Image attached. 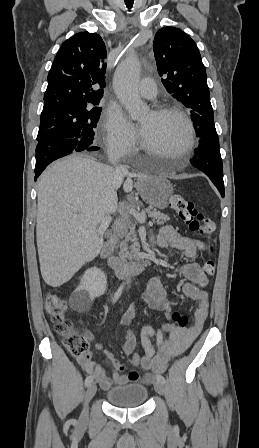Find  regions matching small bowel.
<instances>
[{
	"label": "small bowel",
	"mask_w": 259,
	"mask_h": 448,
	"mask_svg": "<svg viewBox=\"0 0 259 448\" xmlns=\"http://www.w3.org/2000/svg\"><path fill=\"white\" fill-rule=\"evenodd\" d=\"M156 242L160 247L182 251L187 260L186 263L176 269V272L185 278V282L181 286V291L190 299L198 302L194 312V322L190 326L181 328L172 327L170 322L165 323L162 328L168 334V337L158 354L151 342L154 329L150 326L142 328L141 343L144 354L139 365L147 371L143 376H140L136 371H126L123 363L119 362L102 345L96 343L95 350L103 352L106 357V363L101 365L93 361L92 352H89L86 356L78 357V362L83 371L90 374L103 390L110 389L113 384L125 385L137 381L151 384L154 379V374L163 372L170 359L184 353L191 346L201 333L204 322L207 319L209 301L205 288L207 287L208 279L200 265L191 260L198 252L208 251V245L201 240L181 235L170 225H165L160 229ZM140 303L149 308L163 311L166 318L170 320L171 311L160 276H155L150 279L146 291L141 295ZM134 312V309H130L122 315L120 324L123 327L131 323ZM86 337L88 340L94 341V336L91 333H86ZM135 347L136 336L132 331L126 330L122 344L123 354L130 356ZM108 364L112 365L115 369L111 376L107 374Z\"/></svg>",
	"instance_id": "obj_1"
}]
</instances>
